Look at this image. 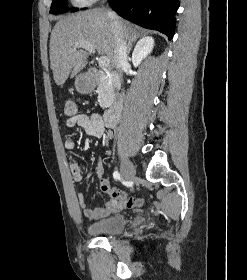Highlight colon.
Instances as JSON below:
<instances>
[{
	"label": "colon",
	"mask_w": 247,
	"mask_h": 280,
	"mask_svg": "<svg viewBox=\"0 0 247 280\" xmlns=\"http://www.w3.org/2000/svg\"><path fill=\"white\" fill-rule=\"evenodd\" d=\"M64 112L67 116H74L77 112V106H76L75 102L67 101L65 103ZM135 203H136L135 201L132 202V204H135Z\"/></svg>",
	"instance_id": "colon-1"
}]
</instances>
